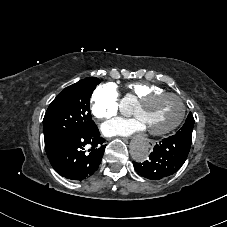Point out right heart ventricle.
<instances>
[{
  "label": "right heart ventricle",
  "mask_w": 227,
  "mask_h": 227,
  "mask_svg": "<svg viewBox=\"0 0 227 227\" xmlns=\"http://www.w3.org/2000/svg\"><path fill=\"white\" fill-rule=\"evenodd\" d=\"M126 89H127L126 97L133 96L137 100L147 94L163 91L162 87L141 80L128 83L126 85Z\"/></svg>",
  "instance_id": "1"
}]
</instances>
